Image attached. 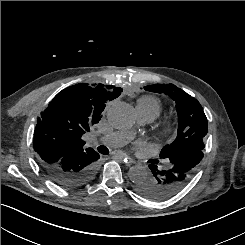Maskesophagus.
<instances>
[{"instance_id":"34e87169","label":"esophagus","mask_w":245,"mask_h":245,"mask_svg":"<svg viewBox=\"0 0 245 245\" xmlns=\"http://www.w3.org/2000/svg\"><path fill=\"white\" fill-rule=\"evenodd\" d=\"M115 157L117 159L123 160V162L127 165H131L132 163H134L133 159L126 154H116Z\"/></svg>"}]
</instances>
